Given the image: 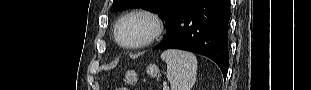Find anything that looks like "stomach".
I'll return each mask as SVG.
<instances>
[{
	"mask_svg": "<svg viewBox=\"0 0 311 90\" xmlns=\"http://www.w3.org/2000/svg\"><path fill=\"white\" fill-rule=\"evenodd\" d=\"M146 72L149 76L156 77L157 75H159V68L155 65L150 64L147 67ZM137 80H138V75L136 74V72L128 71L126 73L125 82L127 84L134 85L137 82Z\"/></svg>",
	"mask_w": 311,
	"mask_h": 90,
	"instance_id": "1",
	"label": "stomach"
}]
</instances>
